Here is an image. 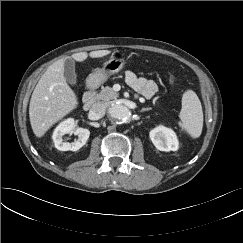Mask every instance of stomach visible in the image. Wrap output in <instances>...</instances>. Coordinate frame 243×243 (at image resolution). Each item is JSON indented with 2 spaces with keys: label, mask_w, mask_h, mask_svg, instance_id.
Returning <instances> with one entry per match:
<instances>
[{
  "label": "stomach",
  "mask_w": 243,
  "mask_h": 243,
  "mask_svg": "<svg viewBox=\"0 0 243 243\" xmlns=\"http://www.w3.org/2000/svg\"><path fill=\"white\" fill-rule=\"evenodd\" d=\"M124 65V59L111 58L104 63L102 69H99L98 71L88 76L86 80L87 85L91 88L100 86L106 82L111 75L119 72L124 67Z\"/></svg>",
  "instance_id": "1"
}]
</instances>
